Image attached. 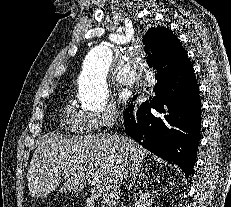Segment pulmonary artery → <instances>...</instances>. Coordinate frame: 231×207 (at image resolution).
<instances>
[{"instance_id": "pulmonary-artery-1", "label": "pulmonary artery", "mask_w": 231, "mask_h": 207, "mask_svg": "<svg viewBox=\"0 0 231 207\" xmlns=\"http://www.w3.org/2000/svg\"><path fill=\"white\" fill-rule=\"evenodd\" d=\"M136 75L132 74L130 67H125L116 77L121 85H131L136 80Z\"/></svg>"}]
</instances>
